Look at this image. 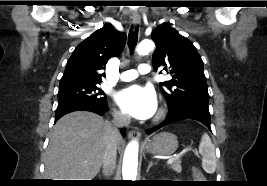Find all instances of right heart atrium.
<instances>
[{
	"label": "right heart atrium",
	"instance_id": "1",
	"mask_svg": "<svg viewBox=\"0 0 267 186\" xmlns=\"http://www.w3.org/2000/svg\"><path fill=\"white\" fill-rule=\"evenodd\" d=\"M114 119L118 122H125L127 120L126 115L119 111V110H115L113 113Z\"/></svg>",
	"mask_w": 267,
	"mask_h": 186
}]
</instances>
